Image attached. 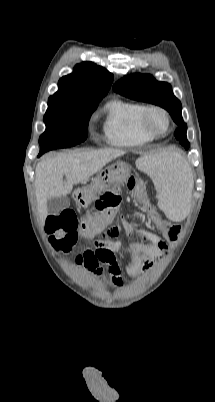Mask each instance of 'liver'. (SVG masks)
Returning <instances> with one entry per match:
<instances>
[{"label": "liver", "mask_w": 215, "mask_h": 402, "mask_svg": "<svg viewBox=\"0 0 215 402\" xmlns=\"http://www.w3.org/2000/svg\"><path fill=\"white\" fill-rule=\"evenodd\" d=\"M123 154L124 151L118 149H102L60 154L40 161L35 170V188L42 221L48 216V198L66 196L73 186L86 182L106 164ZM64 176L66 182H63Z\"/></svg>", "instance_id": "obj_1"}]
</instances>
